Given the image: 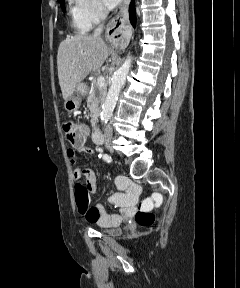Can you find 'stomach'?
<instances>
[{"instance_id": "stomach-1", "label": "stomach", "mask_w": 240, "mask_h": 288, "mask_svg": "<svg viewBox=\"0 0 240 288\" xmlns=\"http://www.w3.org/2000/svg\"><path fill=\"white\" fill-rule=\"evenodd\" d=\"M87 93V85L84 83H80L74 93L65 101L64 107L68 112L76 111L80 105L82 96Z\"/></svg>"}]
</instances>
